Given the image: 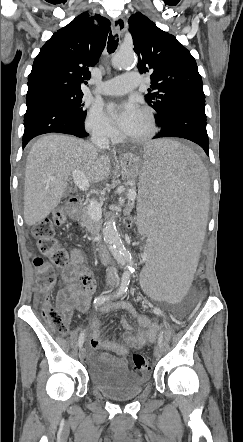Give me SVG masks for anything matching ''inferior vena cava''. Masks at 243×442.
Listing matches in <instances>:
<instances>
[{"label": "inferior vena cava", "mask_w": 243, "mask_h": 442, "mask_svg": "<svg viewBox=\"0 0 243 442\" xmlns=\"http://www.w3.org/2000/svg\"><path fill=\"white\" fill-rule=\"evenodd\" d=\"M91 141L99 152L109 149V139L99 129H94L92 131ZM107 276L111 278H118L117 269L114 265L107 268Z\"/></svg>", "instance_id": "obj_1"}]
</instances>
